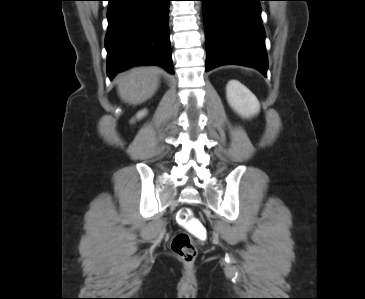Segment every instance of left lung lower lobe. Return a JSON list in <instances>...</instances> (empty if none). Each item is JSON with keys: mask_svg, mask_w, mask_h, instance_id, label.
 <instances>
[{"mask_svg": "<svg viewBox=\"0 0 365 299\" xmlns=\"http://www.w3.org/2000/svg\"><path fill=\"white\" fill-rule=\"evenodd\" d=\"M206 34V71L226 64L252 67L266 76L263 0H200Z\"/></svg>", "mask_w": 365, "mask_h": 299, "instance_id": "0a47b994", "label": "left lung lower lobe"}]
</instances>
